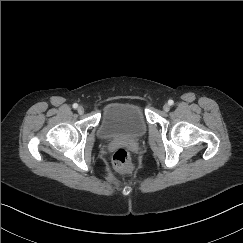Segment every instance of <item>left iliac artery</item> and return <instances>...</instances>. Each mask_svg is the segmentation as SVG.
<instances>
[{"mask_svg":"<svg viewBox=\"0 0 243 243\" xmlns=\"http://www.w3.org/2000/svg\"><path fill=\"white\" fill-rule=\"evenodd\" d=\"M168 104H169V105H173V104H174V101L170 99V100L168 101Z\"/></svg>","mask_w":243,"mask_h":243,"instance_id":"44dca946","label":"left iliac artery"}]
</instances>
